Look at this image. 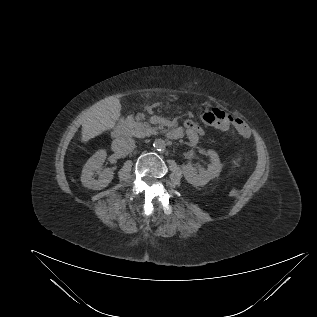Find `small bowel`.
Here are the masks:
<instances>
[{
  "mask_svg": "<svg viewBox=\"0 0 317 317\" xmlns=\"http://www.w3.org/2000/svg\"><path fill=\"white\" fill-rule=\"evenodd\" d=\"M223 113L224 116L222 119V124L218 125V128L225 130L230 126H233L242 136H249V127L243 119H241L240 117H232L225 112ZM172 130H174L175 132L174 139H178L185 134L192 144H196L199 137L204 133L203 129L192 120H187L184 124V128Z\"/></svg>",
  "mask_w": 317,
  "mask_h": 317,
  "instance_id": "small-bowel-1",
  "label": "small bowel"
}]
</instances>
